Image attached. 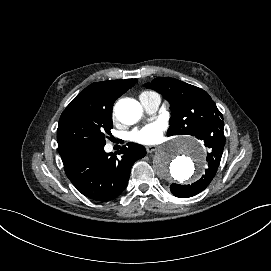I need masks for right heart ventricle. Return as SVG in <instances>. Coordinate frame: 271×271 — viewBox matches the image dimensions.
<instances>
[{
    "mask_svg": "<svg viewBox=\"0 0 271 271\" xmlns=\"http://www.w3.org/2000/svg\"><path fill=\"white\" fill-rule=\"evenodd\" d=\"M151 94H156V93H155V92H152V91H143V92L141 93L140 96H143V95H151Z\"/></svg>",
    "mask_w": 271,
    "mask_h": 271,
    "instance_id": "right-heart-ventricle-1",
    "label": "right heart ventricle"
}]
</instances>
